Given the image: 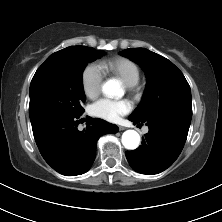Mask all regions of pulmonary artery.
Wrapping results in <instances>:
<instances>
[{"label":"pulmonary artery","instance_id":"pulmonary-artery-1","mask_svg":"<svg viewBox=\"0 0 222 222\" xmlns=\"http://www.w3.org/2000/svg\"><path fill=\"white\" fill-rule=\"evenodd\" d=\"M143 132H144V133H147V132H148V128L145 127V128L143 129Z\"/></svg>","mask_w":222,"mask_h":222}]
</instances>
